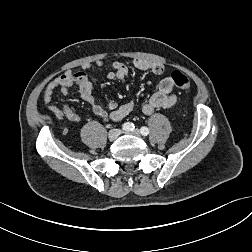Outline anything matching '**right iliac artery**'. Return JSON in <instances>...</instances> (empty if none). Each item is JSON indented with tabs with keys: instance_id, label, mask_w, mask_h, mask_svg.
<instances>
[{
	"instance_id": "right-iliac-artery-1",
	"label": "right iliac artery",
	"mask_w": 252,
	"mask_h": 252,
	"mask_svg": "<svg viewBox=\"0 0 252 252\" xmlns=\"http://www.w3.org/2000/svg\"><path fill=\"white\" fill-rule=\"evenodd\" d=\"M134 128H135L134 124L130 123V122L124 123L122 125V129L125 130V131H132Z\"/></svg>"
}]
</instances>
